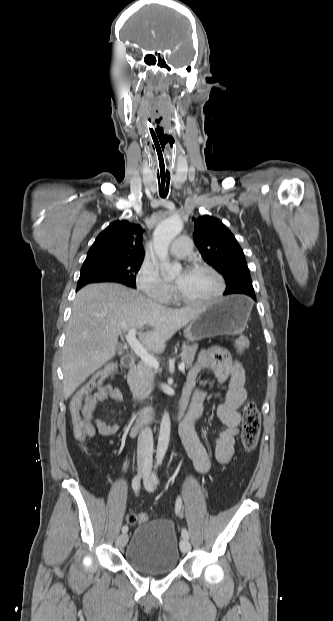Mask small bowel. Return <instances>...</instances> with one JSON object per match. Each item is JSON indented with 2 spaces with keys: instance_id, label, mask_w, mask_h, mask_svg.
I'll return each mask as SVG.
<instances>
[{
  "instance_id": "c3829d8e",
  "label": "small bowel",
  "mask_w": 333,
  "mask_h": 621,
  "mask_svg": "<svg viewBox=\"0 0 333 621\" xmlns=\"http://www.w3.org/2000/svg\"><path fill=\"white\" fill-rule=\"evenodd\" d=\"M203 370H210L220 382H228L225 401L217 408V415L226 426V429L220 431L216 438L215 460L218 465L227 464L234 454L235 440L241 422L240 410L247 398V375L243 364L220 347L202 351L187 374L185 384L192 386L193 400L181 424L180 434L184 448L196 470L201 474H206L214 467V463L206 448L199 441L193 426L194 421L202 412L203 402L207 395L205 389L196 386L197 378ZM109 399L114 401L123 399L120 389L109 384L100 386L85 396L81 406L85 435L92 437L98 433L102 436H111L119 430V424L106 423L95 416L97 404Z\"/></svg>"
}]
</instances>
